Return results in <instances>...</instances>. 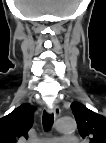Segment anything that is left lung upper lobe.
<instances>
[{
	"label": "left lung upper lobe",
	"instance_id": "5c2ea615",
	"mask_svg": "<svg viewBox=\"0 0 106 143\" xmlns=\"http://www.w3.org/2000/svg\"><path fill=\"white\" fill-rule=\"evenodd\" d=\"M80 135L90 143H106V117L99 115L79 102L71 104Z\"/></svg>",
	"mask_w": 106,
	"mask_h": 143
}]
</instances>
